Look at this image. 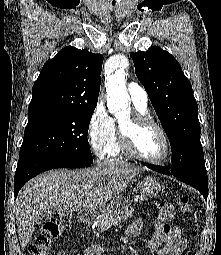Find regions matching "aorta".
Returning <instances> with one entry per match:
<instances>
[{
    "mask_svg": "<svg viewBox=\"0 0 221 255\" xmlns=\"http://www.w3.org/2000/svg\"><path fill=\"white\" fill-rule=\"evenodd\" d=\"M122 67L117 68L114 73L108 74L106 78L107 107L110 113L116 117L123 116L129 108L130 97L125 85V70L127 59L121 60Z\"/></svg>",
    "mask_w": 221,
    "mask_h": 255,
    "instance_id": "aorta-1",
    "label": "aorta"
}]
</instances>
